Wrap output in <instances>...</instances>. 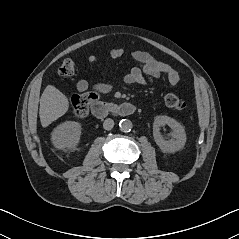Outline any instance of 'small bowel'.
I'll return each instance as SVG.
<instances>
[{
  "instance_id": "c3829d8e",
  "label": "small bowel",
  "mask_w": 239,
  "mask_h": 239,
  "mask_svg": "<svg viewBox=\"0 0 239 239\" xmlns=\"http://www.w3.org/2000/svg\"><path fill=\"white\" fill-rule=\"evenodd\" d=\"M125 51L122 47L114 48L110 51V57L113 60L122 58ZM131 57L138 63L137 67H133L125 76L124 82L126 84H138L142 85L145 83L144 75H148L153 78H159L165 75L168 82L172 86H176L180 81L178 72L170 67L168 64L157 60L151 54L135 50L131 52ZM98 58L92 54L88 57L90 63L97 62ZM114 85L110 82H98L95 84H89L85 79H79L76 82V88L80 92L93 91L96 93H108L113 89Z\"/></svg>"
}]
</instances>
